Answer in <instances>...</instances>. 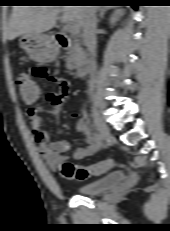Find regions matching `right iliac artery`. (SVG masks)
Listing matches in <instances>:
<instances>
[{
    "instance_id": "obj_1",
    "label": "right iliac artery",
    "mask_w": 170,
    "mask_h": 231,
    "mask_svg": "<svg viewBox=\"0 0 170 231\" xmlns=\"http://www.w3.org/2000/svg\"><path fill=\"white\" fill-rule=\"evenodd\" d=\"M83 116H84V119H87V120H88V118H87V113H86L85 110H83ZM88 123L90 124L91 130H92L94 136H95L96 139L100 142L101 139H100L98 130L96 129L95 125L92 124L89 120H88ZM100 143H101V142H100Z\"/></svg>"
}]
</instances>
